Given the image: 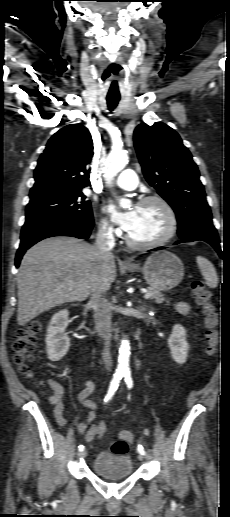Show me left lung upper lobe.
I'll return each mask as SVG.
<instances>
[{
    "mask_svg": "<svg viewBox=\"0 0 230 517\" xmlns=\"http://www.w3.org/2000/svg\"><path fill=\"white\" fill-rule=\"evenodd\" d=\"M134 145L146 180L174 209L179 237L213 226L199 170L178 133L161 122L142 123Z\"/></svg>",
    "mask_w": 230,
    "mask_h": 517,
    "instance_id": "5c2ea615",
    "label": "left lung upper lobe"
}]
</instances>
